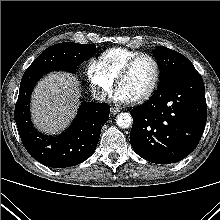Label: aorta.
<instances>
[{"label": "aorta", "mask_w": 220, "mask_h": 220, "mask_svg": "<svg viewBox=\"0 0 220 220\" xmlns=\"http://www.w3.org/2000/svg\"><path fill=\"white\" fill-rule=\"evenodd\" d=\"M132 123L133 119L129 113L122 112L118 114L116 117V124L122 129L129 128L132 125Z\"/></svg>", "instance_id": "1"}]
</instances>
